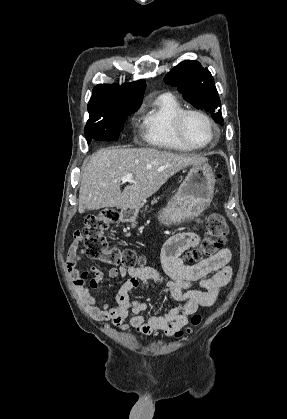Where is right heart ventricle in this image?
Listing matches in <instances>:
<instances>
[{
  "label": "right heart ventricle",
  "instance_id": "1",
  "mask_svg": "<svg viewBox=\"0 0 287 419\" xmlns=\"http://www.w3.org/2000/svg\"><path fill=\"white\" fill-rule=\"evenodd\" d=\"M181 103L171 94L156 97L142 111L139 130L144 141L154 147L190 151L175 133L174 119L183 110Z\"/></svg>",
  "mask_w": 287,
  "mask_h": 419
}]
</instances>
